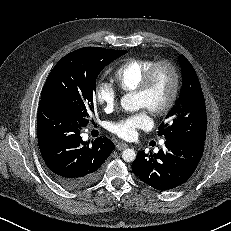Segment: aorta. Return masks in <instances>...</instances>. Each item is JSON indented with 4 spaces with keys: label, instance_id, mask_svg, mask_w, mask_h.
<instances>
[{
    "label": "aorta",
    "instance_id": "762f6f07",
    "mask_svg": "<svg viewBox=\"0 0 231 231\" xmlns=\"http://www.w3.org/2000/svg\"><path fill=\"white\" fill-rule=\"evenodd\" d=\"M121 106L124 110L126 111H137L139 110L140 106L136 100V96L134 94H125L122 98H121ZM122 158L125 162H133L136 158V153L133 149H125L122 152Z\"/></svg>",
    "mask_w": 231,
    "mask_h": 231
}]
</instances>
